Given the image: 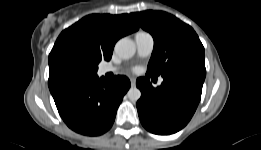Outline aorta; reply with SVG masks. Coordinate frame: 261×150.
<instances>
[{"label": "aorta", "instance_id": "aorta-1", "mask_svg": "<svg viewBox=\"0 0 261 150\" xmlns=\"http://www.w3.org/2000/svg\"><path fill=\"white\" fill-rule=\"evenodd\" d=\"M116 54L122 59H129L134 56L136 47L134 42L129 38H122L115 44ZM127 96L131 101H137L141 97V92L137 87H131Z\"/></svg>", "mask_w": 261, "mask_h": 150}]
</instances>
